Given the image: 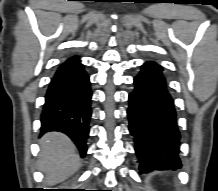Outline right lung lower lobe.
<instances>
[{
  "mask_svg": "<svg viewBox=\"0 0 218 191\" xmlns=\"http://www.w3.org/2000/svg\"><path fill=\"white\" fill-rule=\"evenodd\" d=\"M89 76L77 56L62 63L53 76L41 113V134L60 131L78 147L81 157L87 152L91 117Z\"/></svg>",
  "mask_w": 218,
  "mask_h": 191,
  "instance_id": "obj_1",
  "label": "right lung lower lobe"
}]
</instances>
